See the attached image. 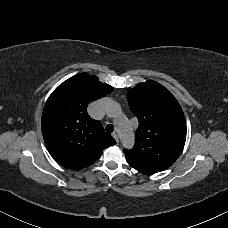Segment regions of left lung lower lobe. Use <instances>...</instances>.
Here are the masks:
<instances>
[{
	"label": "left lung lower lobe",
	"mask_w": 228,
	"mask_h": 228,
	"mask_svg": "<svg viewBox=\"0 0 228 228\" xmlns=\"http://www.w3.org/2000/svg\"><path fill=\"white\" fill-rule=\"evenodd\" d=\"M128 163L134 167L136 170L144 173V174H153V173H156L158 172L159 170H156L154 168H150V167H147V166H144V165H141V164H138V163H135L133 161H131L130 159L126 158Z\"/></svg>",
	"instance_id": "1"
}]
</instances>
